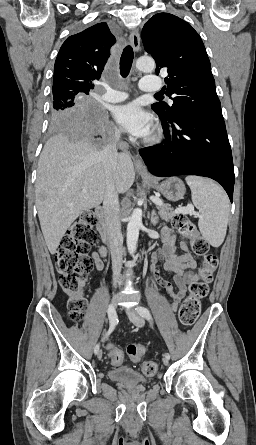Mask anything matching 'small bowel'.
Listing matches in <instances>:
<instances>
[{
    "label": "small bowel",
    "mask_w": 256,
    "mask_h": 445,
    "mask_svg": "<svg viewBox=\"0 0 256 445\" xmlns=\"http://www.w3.org/2000/svg\"><path fill=\"white\" fill-rule=\"evenodd\" d=\"M181 249L186 251L185 243L181 244ZM106 252L104 248L92 254V258L97 270H102L103 258ZM151 272L159 284H161L171 297V309L176 310L180 302L186 295L187 287L199 279V274L193 271L195 261L189 253L183 255L176 254L175 241L167 229L164 230L163 245L157 249L151 257ZM159 265L163 270L172 275V282L163 278L159 273Z\"/></svg>",
    "instance_id": "1"
}]
</instances>
